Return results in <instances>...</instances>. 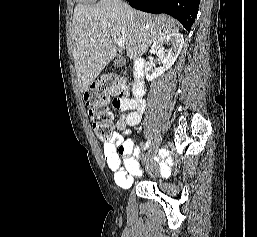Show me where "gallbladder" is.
Listing matches in <instances>:
<instances>
[{"instance_id":"gallbladder-1","label":"gallbladder","mask_w":257,"mask_h":237,"mask_svg":"<svg viewBox=\"0 0 257 237\" xmlns=\"http://www.w3.org/2000/svg\"><path fill=\"white\" fill-rule=\"evenodd\" d=\"M122 63H123V60H122V59H117V60H116V64L119 65V64H122Z\"/></svg>"}]
</instances>
